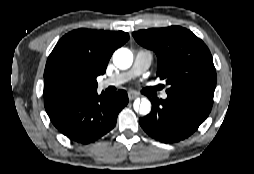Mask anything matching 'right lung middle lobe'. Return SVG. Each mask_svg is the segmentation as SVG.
<instances>
[{
	"label": "right lung middle lobe",
	"instance_id": "1",
	"mask_svg": "<svg viewBox=\"0 0 254 174\" xmlns=\"http://www.w3.org/2000/svg\"><path fill=\"white\" fill-rule=\"evenodd\" d=\"M96 88V81L71 72H60L44 86V99L79 94Z\"/></svg>",
	"mask_w": 254,
	"mask_h": 174
}]
</instances>
